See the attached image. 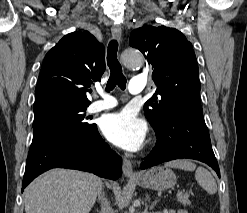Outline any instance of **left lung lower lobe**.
<instances>
[{"label": "left lung lower lobe", "instance_id": "0a47b994", "mask_svg": "<svg viewBox=\"0 0 247 213\" xmlns=\"http://www.w3.org/2000/svg\"><path fill=\"white\" fill-rule=\"evenodd\" d=\"M157 142L142 169L175 159H195L212 167L220 177L203 115L176 111L155 130Z\"/></svg>", "mask_w": 247, "mask_h": 213}]
</instances>
